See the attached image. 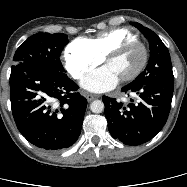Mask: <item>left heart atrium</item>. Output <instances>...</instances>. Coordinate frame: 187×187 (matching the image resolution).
Segmentation results:
<instances>
[{
  "instance_id": "obj_1",
  "label": "left heart atrium",
  "mask_w": 187,
  "mask_h": 187,
  "mask_svg": "<svg viewBox=\"0 0 187 187\" xmlns=\"http://www.w3.org/2000/svg\"><path fill=\"white\" fill-rule=\"evenodd\" d=\"M120 78L108 66L104 65L88 74L82 81L81 86L91 92H105L117 85Z\"/></svg>"
}]
</instances>
